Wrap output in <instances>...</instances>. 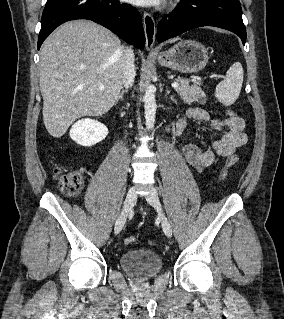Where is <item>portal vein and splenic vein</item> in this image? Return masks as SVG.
<instances>
[{
    "mask_svg": "<svg viewBox=\"0 0 284 319\" xmlns=\"http://www.w3.org/2000/svg\"><path fill=\"white\" fill-rule=\"evenodd\" d=\"M179 85H180V84H179L177 81H175V82L172 83V87H173V88H177V87H179ZM99 89H100V90L104 89V86H103V85H100V86H99Z\"/></svg>",
    "mask_w": 284,
    "mask_h": 319,
    "instance_id": "18ae733b",
    "label": "portal vein and splenic vein"
}]
</instances>
